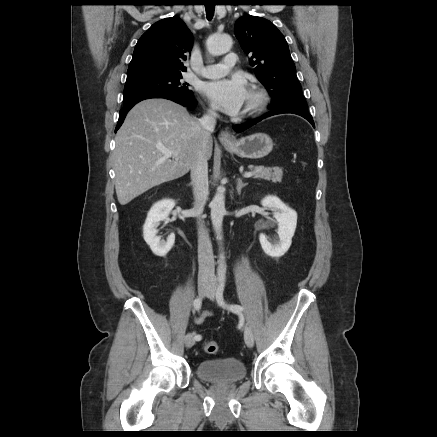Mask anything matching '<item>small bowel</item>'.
<instances>
[{
  "label": "small bowel",
  "mask_w": 437,
  "mask_h": 437,
  "mask_svg": "<svg viewBox=\"0 0 437 437\" xmlns=\"http://www.w3.org/2000/svg\"><path fill=\"white\" fill-rule=\"evenodd\" d=\"M211 315H212L211 311H204L198 317L194 318V322L196 324H201L206 318L210 317Z\"/></svg>",
  "instance_id": "c3829d8e"
}]
</instances>
